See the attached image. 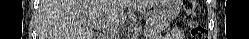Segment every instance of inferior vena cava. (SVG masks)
<instances>
[{
  "instance_id": "602c4592",
  "label": "inferior vena cava",
  "mask_w": 249,
  "mask_h": 39,
  "mask_svg": "<svg viewBox=\"0 0 249 39\" xmlns=\"http://www.w3.org/2000/svg\"><path fill=\"white\" fill-rule=\"evenodd\" d=\"M118 35V27L107 29V39H116Z\"/></svg>"
}]
</instances>
